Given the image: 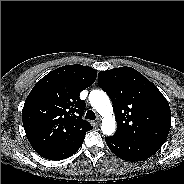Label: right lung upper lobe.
<instances>
[{
    "instance_id": "cb5924a9",
    "label": "right lung upper lobe",
    "mask_w": 184,
    "mask_h": 184,
    "mask_svg": "<svg viewBox=\"0 0 184 184\" xmlns=\"http://www.w3.org/2000/svg\"><path fill=\"white\" fill-rule=\"evenodd\" d=\"M97 71L80 64L57 68L33 87L22 110L26 136L38 153L74 145L93 127L82 119V90L91 86Z\"/></svg>"
}]
</instances>
